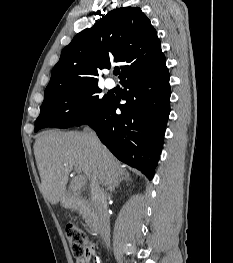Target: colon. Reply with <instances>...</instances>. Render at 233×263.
Returning a JSON list of instances; mask_svg holds the SVG:
<instances>
[{
    "instance_id": "colon-1",
    "label": "colon",
    "mask_w": 233,
    "mask_h": 263,
    "mask_svg": "<svg viewBox=\"0 0 233 263\" xmlns=\"http://www.w3.org/2000/svg\"><path fill=\"white\" fill-rule=\"evenodd\" d=\"M65 234L73 256L86 261L85 263H94V246L85 231L76 224L69 223L66 225Z\"/></svg>"
}]
</instances>
